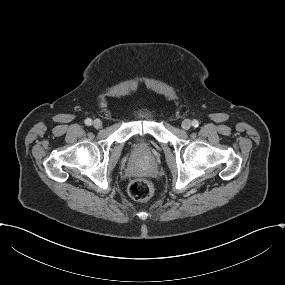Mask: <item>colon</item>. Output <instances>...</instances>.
I'll use <instances>...</instances> for the list:
<instances>
[{
	"label": "colon",
	"instance_id": "obj_1",
	"mask_svg": "<svg viewBox=\"0 0 285 285\" xmlns=\"http://www.w3.org/2000/svg\"><path fill=\"white\" fill-rule=\"evenodd\" d=\"M154 192L153 185L146 179H135L128 185L129 196L137 202L148 201Z\"/></svg>",
	"mask_w": 285,
	"mask_h": 285
}]
</instances>
